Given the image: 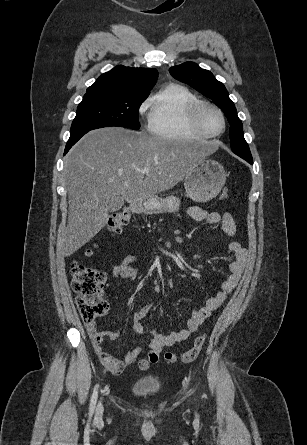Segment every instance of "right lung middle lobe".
Instances as JSON below:
<instances>
[{
  "label": "right lung middle lobe",
  "instance_id": "obj_1",
  "mask_svg": "<svg viewBox=\"0 0 307 445\" xmlns=\"http://www.w3.org/2000/svg\"><path fill=\"white\" fill-rule=\"evenodd\" d=\"M146 97L91 95L78 105L71 136L102 127L139 129L138 110Z\"/></svg>",
  "mask_w": 307,
  "mask_h": 445
}]
</instances>
